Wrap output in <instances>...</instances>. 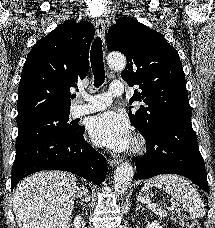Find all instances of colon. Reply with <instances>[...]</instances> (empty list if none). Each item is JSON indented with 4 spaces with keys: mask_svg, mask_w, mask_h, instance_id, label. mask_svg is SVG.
Listing matches in <instances>:
<instances>
[{
    "mask_svg": "<svg viewBox=\"0 0 215 228\" xmlns=\"http://www.w3.org/2000/svg\"><path fill=\"white\" fill-rule=\"evenodd\" d=\"M173 219L180 228H199V225L192 217L182 213L178 210H174L172 213Z\"/></svg>",
    "mask_w": 215,
    "mask_h": 228,
    "instance_id": "1",
    "label": "colon"
}]
</instances>
